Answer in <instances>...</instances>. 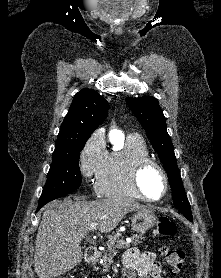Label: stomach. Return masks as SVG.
I'll return each instance as SVG.
<instances>
[{"mask_svg":"<svg viewBox=\"0 0 221 278\" xmlns=\"http://www.w3.org/2000/svg\"><path fill=\"white\" fill-rule=\"evenodd\" d=\"M156 220L152 210L137 211L132 218V228L137 233H145L155 225Z\"/></svg>","mask_w":221,"mask_h":278,"instance_id":"1","label":"stomach"}]
</instances>
